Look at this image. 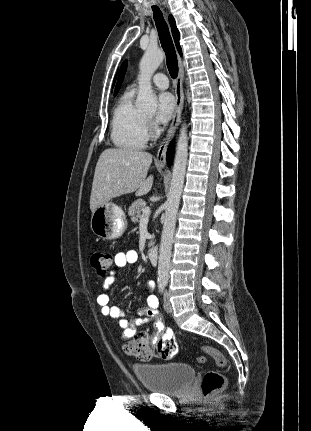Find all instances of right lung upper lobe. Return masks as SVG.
<instances>
[{
    "instance_id": "right-lung-upper-lobe-1",
    "label": "right lung upper lobe",
    "mask_w": 311,
    "mask_h": 431,
    "mask_svg": "<svg viewBox=\"0 0 311 431\" xmlns=\"http://www.w3.org/2000/svg\"><path fill=\"white\" fill-rule=\"evenodd\" d=\"M169 23H170L172 35H173V38H174L177 50H178L179 54L181 55L182 52H181V47L179 45V31H178V29L176 27L175 20H174V18L171 15L169 16Z\"/></svg>"
}]
</instances>
